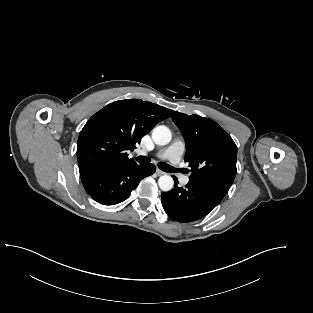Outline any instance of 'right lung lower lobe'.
Instances as JSON below:
<instances>
[{
	"instance_id": "obj_1",
	"label": "right lung lower lobe",
	"mask_w": 313,
	"mask_h": 313,
	"mask_svg": "<svg viewBox=\"0 0 313 313\" xmlns=\"http://www.w3.org/2000/svg\"><path fill=\"white\" fill-rule=\"evenodd\" d=\"M153 164L133 165L81 175L87 193L103 205H115L127 199L140 180L152 175Z\"/></svg>"
}]
</instances>
